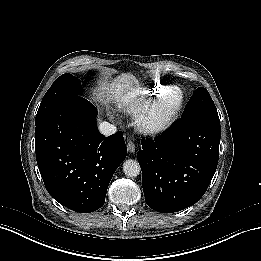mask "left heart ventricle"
Returning <instances> with one entry per match:
<instances>
[{"label": "left heart ventricle", "mask_w": 261, "mask_h": 261, "mask_svg": "<svg viewBox=\"0 0 261 261\" xmlns=\"http://www.w3.org/2000/svg\"><path fill=\"white\" fill-rule=\"evenodd\" d=\"M178 102V96L176 93L171 92L166 95L164 98L157 102L155 108V115L156 116H163L170 113L176 106Z\"/></svg>", "instance_id": "obj_1"}]
</instances>
